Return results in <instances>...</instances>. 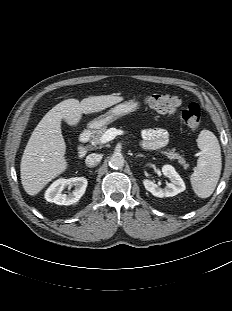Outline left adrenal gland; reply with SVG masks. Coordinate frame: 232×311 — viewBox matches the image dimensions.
Segmentation results:
<instances>
[{
    "label": "left adrenal gland",
    "mask_w": 232,
    "mask_h": 311,
    "mask_svg": "<svg viewBox=\"0 0 232 311\" xmlns=\"http://www.w3.org/2000/svg\"><path fill=\"white\" fill-rule=\"evenodd\" d=\"M136 157H144L143 154H138Z\"/></svg>",
    "instance_id": "a2214340"
}]
</instances>
